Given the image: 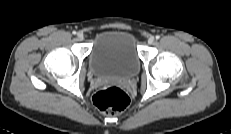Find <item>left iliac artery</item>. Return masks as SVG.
Here are the masks:
<instances>
[{
  "mask_svg": "<svg viewBox=\"0 0 231 134\" xmlns=\"http://www.w3.org/2000/svg\"><path fill=\"white\" fill-rule=\"evenodd\" d=\"M159 38H160V36H159V35H157V36H156V39L158 40Z\"/></svg>",
  "mask_w": 231,
  "mask_h": 134,
  "instance_id": "obj_1",
  "label": "left iliac artery"
}]
</instances>
